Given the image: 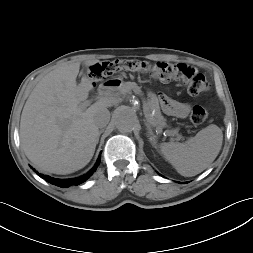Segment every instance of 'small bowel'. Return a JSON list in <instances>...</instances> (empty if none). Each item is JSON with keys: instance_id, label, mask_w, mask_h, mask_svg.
<instances>
[{"instance_id": "c3829d8e", "label": "small bowel", "mask_w": 253, "mask_h": 253, "mask_svg": "<svg viewBox=\"0 0 253 253\" xmlns=\"http://www.w3.org/2000/svg\"><path fill=\"white\" fill-rule=\"evenodd\" d=\"M159 100L163 109L168 114L176 117L180 118L186 117L191 109L190 104L171 101L165 94H160Z\"/></svg>"}]
</instances>
